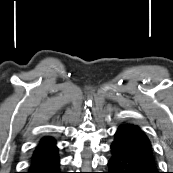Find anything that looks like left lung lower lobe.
Here are the masks:
<instances>
[{
	"instance_id": "0a47b994",
	"label": "left lung lower lobe",
	"mask_w": 173,
	"mask_h": 173,
	"mask_svg": "<svg viewBox=\"0 0 173 173\" xmlns=\"http://www.w3.org/2000/svg\"><path fill=\"white\" fill-rule=\"evenodd\" d=\"M106 173H159L154 155L120 142L111 144Z\"/></svg>"
}]
</instances>
